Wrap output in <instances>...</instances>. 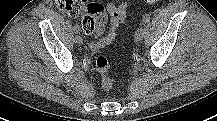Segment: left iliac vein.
Segmentation results:
<instances>
[{
	"instance_id": "4c4485c4",
	"label": "left iliac vein",
	"mask_w": 217,
	"mask_h": 121,
	"mask_svg": "<svg viewBox=\"0 0 217 121\" xmlns=\"http://www.w3.org/2000/svg\"><path fill=\"white\" fill-rule=\"evenodd\" d=\"M144 37V29L143 28H138L136 31H135V35H134V38L136 41H141Z\"/></svg>"
}]
</instances>
